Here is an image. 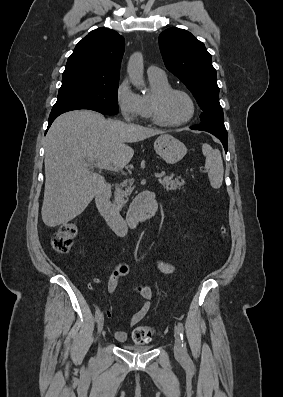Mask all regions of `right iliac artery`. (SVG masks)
I'll return each mask as SVG.
<instances>
[{"mask_svg":"<svg viewBox=\"0 0 283 397\" xmlns=\"http://www.w3.org/2000/svg\"><path fill=\"white\" fill-rule=\"evenodd\" d=\"M101 315H102V314H101L100 309H99V308H96V312H95V319H96V321L99 320V318H100Z\"/></svg>","mask_w":283,"mask_h":397,"instance_id":"82829eb1","label":"right iliac artery"}]
</instances>
